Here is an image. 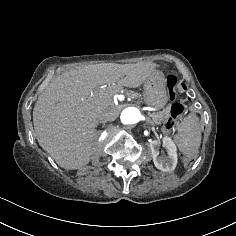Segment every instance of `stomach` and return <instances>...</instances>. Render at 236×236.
<instances>
[{"mask_svg":"<svg viewBox=\"0 0 236 236\" xmlns=\"http://www.w3.org/2000/svg\"><path fill=\"white\" fill-rule=\"evenodd\" d=\"M144 102L155 109L163 108L167 101V93L164 83V75L155 70L153 75L144 82Z\"/></svg>","mask_w":236,"mask_h":236,"instance_id":"0dacf381","label":"stomach"}]
</instances>
